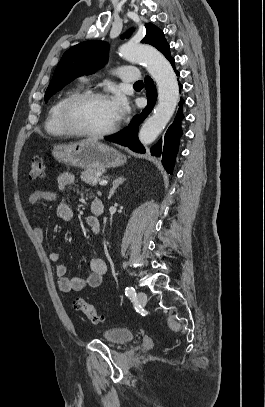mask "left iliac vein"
I'll use <instances>...</instances> for the list:
<instances>
[{
	"label": "left iliac vein",
	"mask_w": 265,
	"mask_h": 407,
	"mask_svg": "<svg viewBox=\"0 0 265 407\" xmlns=\"http://www.w3.org/2000/svg\"><path fill=\"white\" fill-rule=\"evenodd\" d=\"M136 300L140 305H144L147 301V296L144 292L139 291L137 293Z\"/></svg>",
	"instance_id": "left-iliac-vein-1"
}]
</instances>
